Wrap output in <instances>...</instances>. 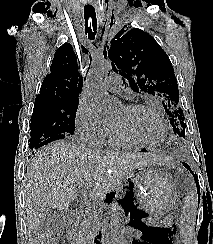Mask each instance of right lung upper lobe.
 <instances>
[{
	"label": "right lung upper lobe",
	"instance_id": "obj_1",
	"mask_svg": "<svg viewBox=\"0 0 213 244\" xmlns=\"http://www.w3.org/2000/svg\"><path fill=\"white\" fill-rule=\"evenodd\" d=\"M50 70L51 73L43 80L36 100L55 98L79 100L83 80L78 71L76 55L69 43L57 49Z\"/></svg>",
	"mask_w": 213,
	"mask_h": 244
}]
</instances>
